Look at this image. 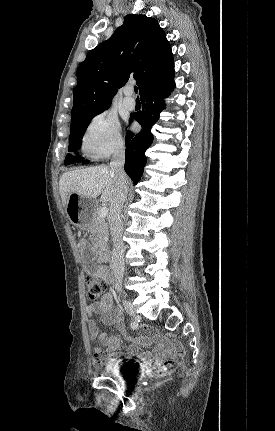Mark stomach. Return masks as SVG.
I'll list each match as a JSON object with an SVG mask.
<instances>
[{
    "label": "stomach",
    "instance_id": "obj_1",
    "mask_svg": "<svg viewBox=\"0 0 275 431\" xmlns=\"http://www.w3.org/2000/svg\"><path fill=\"white\" fill-rule=\"evenodd\" d=\"M94 206L95 202L91 198L71 193L67 199V217L74 226L80 229H89Z\"/></svg>",
    "mask_w": 275,
    "mask_h": 431
}]
</instances>
